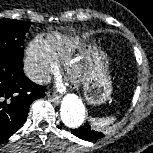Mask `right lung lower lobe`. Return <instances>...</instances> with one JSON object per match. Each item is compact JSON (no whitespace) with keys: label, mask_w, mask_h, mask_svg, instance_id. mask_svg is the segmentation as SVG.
Masks as SVG:
<instances>
[{"label":"right lung lower lobe","mask_w":153,"mask_h":153,"mask_svg":"<svg viewBox=\"0 0 153 153\" xmlns=\"http://www.w3.org/2000/svg\"><path fill=\"white\" fill-rule=\"evenodd\" d=\"M44 93L25 76L22 59L0 56V141L22 127L31 103Z\"/></svg>","instance_id":"obj_1"}]
</instances>
